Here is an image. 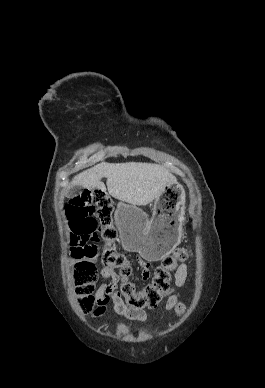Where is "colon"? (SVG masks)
Here are the masks:
<instances>
[{
    "instance_id": "5ec220e1",
    "label": "colon",
    "mask_w": 265,
    "mask_h": 388,
    "mask_svg": "<svg viewBox=\"0 0 265 388\" xmlns=\"http://www.w3.org/2000/svg\"><path fill=\"white\" fill-rule=\"evenodd\" d=\"M65 214L71 229L70 251L74 258V281L78 306L84 314L98 316L93 295L97 279L95 260L118 275V293L128 307L143 309L154 307L168 290L172 272L178 263L186 260L190 252L177 249L163 259L154 270L151 280L141 289L130 280L132 269L127 257L117 250V231L113 225V203L103 190L85 191L65 205ZM98 246L95 243L100 242Z\"/></svg>"
}]
</instances>
